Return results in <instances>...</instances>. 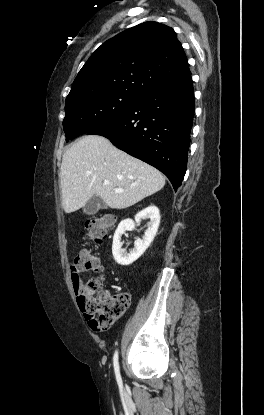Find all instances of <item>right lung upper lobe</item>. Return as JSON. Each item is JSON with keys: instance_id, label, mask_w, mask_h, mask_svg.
Segmentation results:
<instances>
[{"instance_id": "cb5924a9", "label": "right lung upper lobe", "mask_w": 264, "mask_h": 415, "mask_svg": "<svg viewBox=\"0 0 264 415\" xmlns=\"http://www.w3.org/2000/svg\"><path fill=\"white\" fill-rule=\"evenodd\" d=\"M190 75L174 30L144 22L103 43L79 71L66 100L114 91L143 96Z\"/></svg>"}]
</instances>
